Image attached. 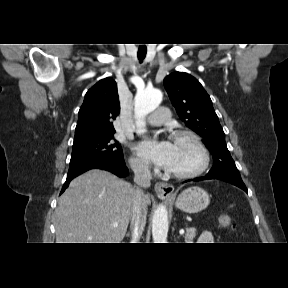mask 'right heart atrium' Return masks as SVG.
<instances>
[{"mask_svg": "<svg viewBox=\"0 0 288 288\" xmlns=\"http://www.w3.org/2000/svg\"><path fill=\"white\" fill-rule=\"evenodd\" d=\"M129 163L131 168L138 173L146 174L149 172V165L138 157L130 158Z\"/></svg>", "mask_w": 288, "mask_h": 288, "instance_id": "obj_1", "label": "right heart atrium"}]
</instances>
